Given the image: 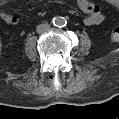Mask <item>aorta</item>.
Returning <instances> with one entry per match:
<instances>
[{"label": "aorta", "instance_id": "aorta-1", "mask_svg": "<svg viewBox=\"0 0 119 119\" xmlns=\"http://www.w3.org/2000/svg\"><path fill=\"white\" fill-rule=\"evenodd\" d=\"M53 24H54L55 26H58V27H63V26H65V24H66V20H65L64 17H60V16L54 17V18H53Z\"/></svg>", "mask_w": 119, "mask_h": 119}]
</instances>
